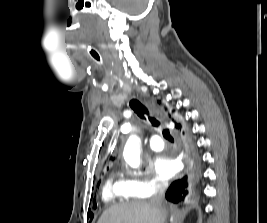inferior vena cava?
Returning <instances> with one entry per match:
<instances>
[{
	"mask_svg": "<svg viewBox=\"0 0 267 223\" xmlns=\"http://www.w3.org/2000/svg\"><path fill=\"white\" fill-rule=\"evenodd\" d=\"M167 188V184L166 183H159L157 185L156 191L151 199V203L157 207H159L160 209H165L164 208V194H165V190ZM162 222H165V217L162 219Z\"/></svg>",
	"mask_w": 267,
	"mask_h": 223,
	"instance_id": "1",
	"label": "inferior vena cava"
}]
</instances>
